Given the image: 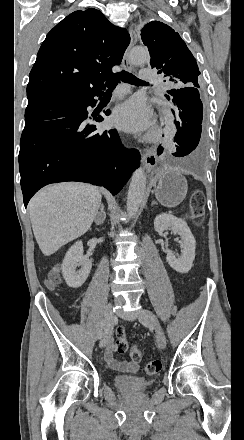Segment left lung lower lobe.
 <instances>
[{
    "label": "left lung lower lobe",
    "instance_id": "1",
    "mask_svg": "<svg viewBox=\"0 0 244 440\" xmlns=\"http://www.w3.org/2000/svg\"><path fill=\"white\" fill-rule=\"evenodd\" d=\"M199 87H184L167 91L174 105L172 110L174 123L177 128L174 142L177 151L176 157H183L191 153L198 145L202 131L203 106L200 99Z\"/></svg>",
    "mask_w": 244,
    "mask_h": 440
}]
</instances>
